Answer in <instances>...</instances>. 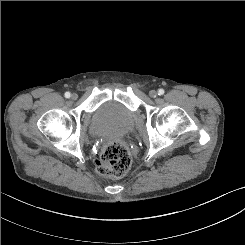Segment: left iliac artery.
I'll return each instance as SVG.
<instances>
[{
	"label": "left iliac artery",
	"instance_id": "44dca946",
	"mask_svg": "<svg viewBox=\"0 0 245 245\" xmlns=\"http://www.w3.org/2000/svg\"><path fill=\"white\" fill-rule=\"evenodd\" d=\"M158 94H159V95H163V94H164V89H159V90H158Z\"/></svg>",
	"mask_w": 245,
	"mask_h": 245
}]
</instances>
